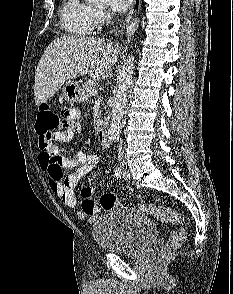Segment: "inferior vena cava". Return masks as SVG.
<instances>
[{
  "mask_svg": "<svg viewBox=\"0 0 233 294\" xmlns=\"http://www.w3.org/2000/svg\"><path fill=\"white\" fill-rule=\"evenodd\" d=\"M124 154H123V146H122V141H120L118 145V160L120 162H123Z\"/></svg>",
  "mask_w": 233,
  "mask_h": 294,
  "instance_id": "obj_1",
  "label": "inferior vena cava"
}]
</instances>
